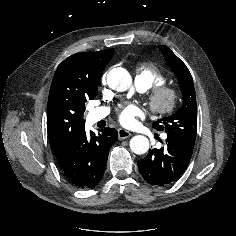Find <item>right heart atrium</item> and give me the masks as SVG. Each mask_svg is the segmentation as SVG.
<instances>
[{
	"label": "right heart atrium",
	"mask_w": 236,
	"mask_h": 236,
	"mask_svg": "<svg viewBox=\"0 0 236 236\" xmlns=\"http://www.w3.org/2000/svg\"><path fill=\"white\" fill-rule=\"evenodd\" d=\"M102 83H106V75L102 77Z\"/></svg>",
	"instance_id": "d8ad5b80"
}]
</instances>
